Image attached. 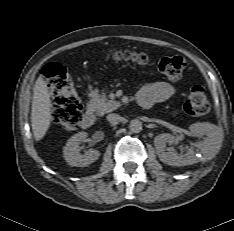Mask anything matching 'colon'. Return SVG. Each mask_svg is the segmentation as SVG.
Returning <instances> with one entry per match:
<instances>
[{
    "label": "colon",
    "instance_id": "5ec220e1",
    "mask_svg": "<svg viewBox=\"0 0 234 231\" xmlns=\"http://www.w3.org/2000/svg\"><path fill=\"white\" fill-rule=\"evenodd\" d=\"M109 59L138 66L150 64V59L146 54L132 51L113 52L109 54ZM157 67L167 79L178 81L183 76L186 61L179 55L168 56L161 58ZM43 75L47 80L50 93L55 98L52 113L54 123L67 131L76 129L82 120V104L68 71L59 63H49L44 67ZM184 109L192 116H200L208 112L209 101L202 87L194 86L191 89Z\"/></svg>",
    "mask_w": 234,
    "mask_h": 231
}]
</instances>
